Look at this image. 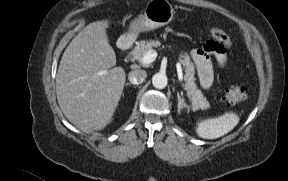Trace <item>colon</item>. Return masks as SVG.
<instances>
[{
	"mask_svg": "<svg viewBox=\"0 0 288 181\" xmlns=\"http://www.w3.org/2000/svg\"><path fill=\"white\" fill-rule=\"evenodd\" d=\"M212 40L209 42V46L219 52H225L230 47V39L225 31L219 28L211 30ZM244 91L240 87L228 88L222 98V102L230 106L236 101L242 98Z\"/></svg>",
	"mask_w": 288,
	"mask_h": 181,
	"instance_id": "5ec220e1",
	"label": "colon"
}]
</instances>
